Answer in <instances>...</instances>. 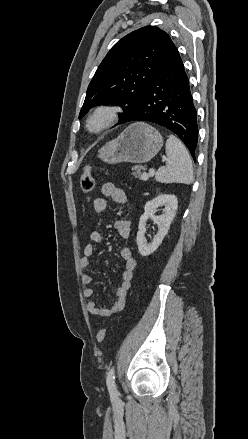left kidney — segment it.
I'll return each instance as SVG.
<instances>
[{
  "mask_svg": "<svg viewBox=\"0 0 248 439\" xmlns=\"http://www.w3.org/2000/svg\"><path fill=\"white\" fill-rule=\"evenodd\" d=\"M161 206H165L164 214L156 216L155 212ZM177 207V197L171 194H160L145 204L144 214L139 220L136 238L138 250L142 256L152 254L160 246L162 240L168 233L173 218L175 217ZM149 218H151L153 222L158 225V232L154 236L151 243H147L145 239L146 222Z\"/></svg>",
  "mask_w": 248,
  "mask_h": 439,
  "instance_id": "5707ae66",
  "label": "left kidney"
}]
</instances>
